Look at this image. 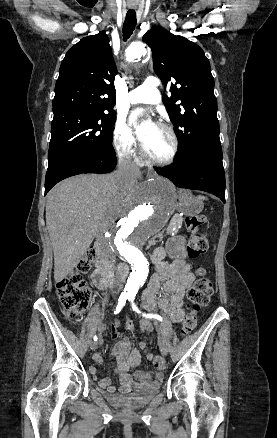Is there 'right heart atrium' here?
I'll return each instance as SVG.
<instances>
[{
  "mask_svg": "<svg viewBox=\"0 0 277 438\" xmlns=\"http://www.w3.org/2000/svg\"><path fill=\"white\" fill-rule=\"evenodd\" d=\"M114 143L120 155L132 157L135 154L136 139L123 117L119 118L115 124Z\"/></svg>",
  "mask_w": 277,
  "mask_h": 438,
  "instance_id": "1",
  "label": "right heart atrium"
}]
</instances>
